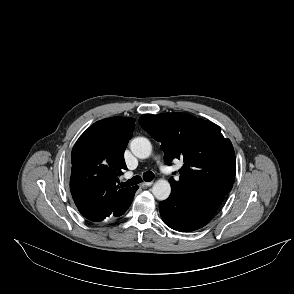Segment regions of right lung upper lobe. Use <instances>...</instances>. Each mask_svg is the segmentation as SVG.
<instances>
[{
	"label": "right lung upper lobe",
	"mask_w": 294,
	"mask_h": 294,
	"mask_svg": "<svg viewBox=\"0 0 294 294\" xmlns=\"http://www.w3.org/2000/svg\"><path fill=\"white\" fill-rule=\"evenodd\" d=\"M134 118L112 117L89 127L72 149L70 190L87 219L111 213L132 188H119L118 175L127 169L124 151L133 135Z\"/></svg>",
	"instance_id": "cb5924a9"
}]
</instances>
